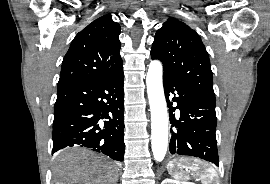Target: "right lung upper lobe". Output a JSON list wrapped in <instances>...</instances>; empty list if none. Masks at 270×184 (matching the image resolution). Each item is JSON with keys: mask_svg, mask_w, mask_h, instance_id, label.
I'll list each match as a JSON object with an SVG mask.
<instances>
[{"mask_svg": "<svg viewBox=\"0 0 270 184\" xmlns=\"http://www.w3.org/2000/svg\"><path fill=\"white\" fill-rule=\"evenodd\" d=\"M120 30L110 15H104L79 32L63 59L58 89L121 71Z\"/></svg>", "mask_w": 270, "mask_h": 184, "instance_id": "1", "label": "right lung upper lobe"}]
</instances>
